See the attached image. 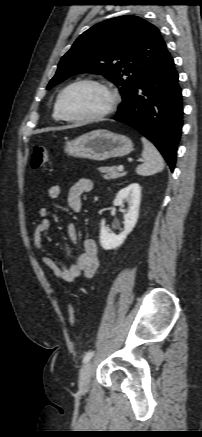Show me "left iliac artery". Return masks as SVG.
Listing matches in <instances>:
<instances>
[{
  "instance_id": "left-iliac-artery-1",
  "label": "left iliac artery",
  "mask_w": 202,
  "mask_h": 437,
  "mask_svg": "<svg viewBox=\"0 0 202 437\" xmlns=\"http://www.w3.org/2000/svg\"><path fill=\"white\" fill-rule=\"evenodd\" d=\"M93 355H94L93 351L87 352L83 358V363H87L92 358Z\"/></svg>"
}]
</instances>
